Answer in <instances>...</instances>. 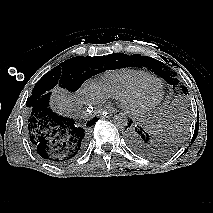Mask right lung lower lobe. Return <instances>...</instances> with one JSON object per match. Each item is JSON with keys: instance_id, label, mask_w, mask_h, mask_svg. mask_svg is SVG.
Here are the masks:
<instances>
[{"instance_id": "obj_1", "label": "right lung lower lobe", "mask_w": 213, "mask_h": 213, "mask_svg": "<svg viewBox=\"0 0 213 213\" xmlns=\"http://www.w3.org/2000/svg\"><path fill=\"white\" fill-rule=\"evenodd\" d=\"M50 95L47 92L29 108L27 132L40 157L54 164H65L84 151L88 131L98 118L79 125L73 118L58 115L50 108Z\"/></svg>"}]
</instances>
